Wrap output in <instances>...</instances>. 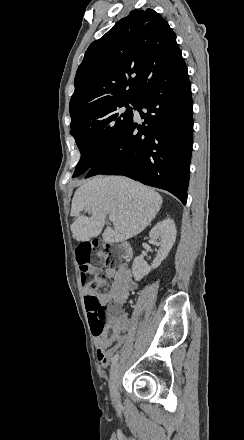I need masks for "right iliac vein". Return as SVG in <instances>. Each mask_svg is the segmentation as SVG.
<instances>
[{"instance_id": "1", "label": "right iliac vein", "mask_w": 244, "mask_h": 440, "mask_svg": "<svg viewBox=\"0 0 244 440\" xmlns=\"http://www.w3.org/2000/svg\"><path fill=\"white\" fill-rule=\"evenodd\" d=\"M118 377H119V365L115 364L110 372L108 380L110 396L113 401L118 403Z\"/></svg>"}]
</instances>
